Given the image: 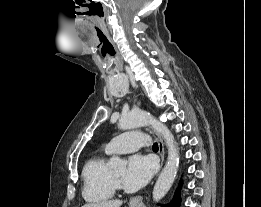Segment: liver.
<instances>
[{
  "instance_id": "obj_1",
  "label": "liver",
  "mask_w": 261,
  "mask_h": 207,
  "mask_svg": "<svg viewBox=\"0 0 261 207\" xmlns=\"http://www.w3.org/2000/svg\"><path fill=\"white\" fill-rule=\"evenodd\" d=\"M121 205V200H105L101 202L85 204L82 207H120Z\"/></svg>"
}]
</instances>
